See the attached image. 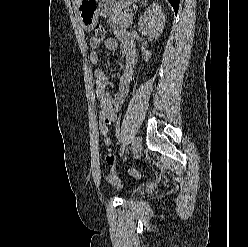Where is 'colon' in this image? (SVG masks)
<instances>
[{
  "mask_svg": "<svg viewBox=\"0 0 248 247\" xmlns=\"http://www.w3.org/2000/svg\"><path fill=\"white\" fill-rule=\"evenodd\" d=\"M94 36L97 38H104L105 37L104 29L101 26H97L95 29ZM121 133H122L121 120H120V118H118L116 123H115V137H116L117 144H119L121 141ZM128 171L132 176H134L136 178H142L143 177V175H141L136 169H134L131 166H128Z\"/></svg>",
  "mask_w": 248,
  "mask_h": 247,
  "instance_id": "obj_1",
  "label": "colon"
}]
</instances>
